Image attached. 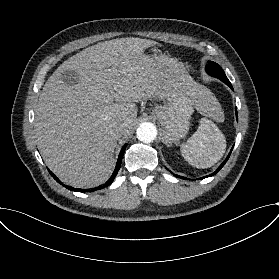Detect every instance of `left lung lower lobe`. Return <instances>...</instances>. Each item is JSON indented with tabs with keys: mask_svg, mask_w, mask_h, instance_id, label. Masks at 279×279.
<instances>
[{
	"mask_svg": "<svg viewBox=\"0 0 279 279\" xmlns=\"http://www.w3.org/2000/svg\"><path fill=\"white\" fill-rule=\"evenodd\" d=\"M229 87L233 90L232 85H230ZM236 117H238V115H237V110H236ZM231 152H232V149H231L229 155L227 156V158L225 159V161L220 165V167H219L214 173H212V174H210V175H208V176L202 177V179H203V178L210 177V176H213L214 174H216V173L225 165V163L227 162V160H228L229 157H230ZM174 176H176V177H178V178H182V179H186V180H187V178L181 177V176H179V175H175V174H174Z\"/></svg>",
	"mask_w": 279,
	"mask_h": 279,
	"instance_id": "1",
	"label": "left lung lower lobe"
}]
</instances>
